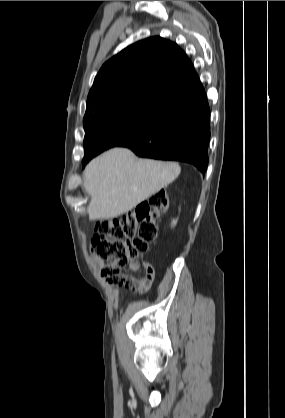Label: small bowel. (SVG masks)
Segmentation results:
<instances>
[{
	"label": "small bowel",
	"mask_w": 285,
	"mask_h": 418,
	"mask_svg": "<svg viewBox=\"0 0 285 418\" xmlns=\"http://www.w3.org/2000/svg\"><path fill=\"white\" fill-rule=\"evenodd\" d=\"M91 262L96 268L100 270V262L96 257L93 256L91 258ZM142 266L144 268V274L141 278L136 279L129 275L122 276L121 281H124V282L127 281V284H125V287L129 289L138 288L144 291L151 286L155 277L154 268L149 263H142ZM116 298H118V296H116Z\"/></svg>",
	"instance_id": "c3829d8e"
}]
</instances>
